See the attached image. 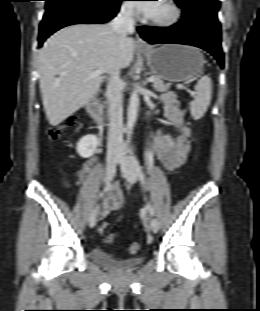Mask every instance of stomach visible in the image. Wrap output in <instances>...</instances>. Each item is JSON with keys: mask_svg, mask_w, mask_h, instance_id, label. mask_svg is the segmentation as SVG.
<instances>
[{"mask_svg": "<svg viewBox=\"0 0 260 311\" xmlns=\"http://www.w3.org/2000/svg\"><path fill=\"white\" fill-rule=\"evenodd\" d=\"M152 73L171 82L186 81L202 72L203 54L195 47L166 44L141 51Z\"/></svg>", "mask_w": 260, "mask_h": 311, "instance_id": "obj_1", "label": "stomach"}]
</instances>
